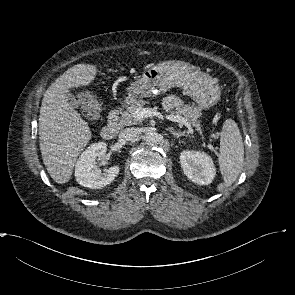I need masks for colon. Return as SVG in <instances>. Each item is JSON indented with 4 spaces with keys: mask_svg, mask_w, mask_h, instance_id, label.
I'll return each instance as SVG.
<instances>
[{
    "mask_svg": "<svg viewBox=\"0 0 295 295\" xmlns=\"http://www.w3.org/2000/svg\"><path fill=\"white\" fill-rule=\"evenodd\" d=\"M89 104L87 105V114L91 117L94 118L97 114V108L93 106L92 99H89Z\"/></svg>",
    "mask_w": 295,
    "mask_h": 295,
    "instance_id": "colon-1",
    "label": "colon"
}]
</instances>
